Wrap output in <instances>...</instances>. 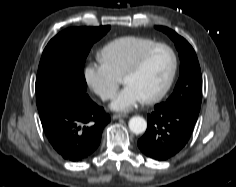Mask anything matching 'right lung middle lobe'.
Here are the masks:
<instances>
[{"label":"right lung middle lobe","mask_w":236,"mask_h":187,"mask_svg":"<svg viewBox=\"0 0 236 187\" xmlns=\"http://www.w3.org/2000/svg\"><path fill=\"white\" fill-rule=\"evenodd\" d=\"M110 26L72 27L45 47L36 78V102L39 114L49 98L58 91L86 92L84 64L92 45L102 38Z\"/></svg>","instance_id":"dd1d6c3e"}]
</instances>
